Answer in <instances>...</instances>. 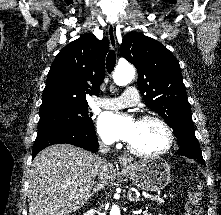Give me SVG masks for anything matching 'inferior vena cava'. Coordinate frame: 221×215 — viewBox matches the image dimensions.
<instances>
[{
    "label": "inferior vena cava",
    "instance_id": "602c4592",
    "mask_svg": "<svg viewBox=\"0 0 221 215\" xmlns=\"http://www.w3.org/2000/svg\"><path fill=\"white\" fill-rule=\"evenodd\" d=\"M110 150V147L106 144H103V143H100L99 144V152L101 154H106L108 151ZM100 160V169L98 171V179H99V185L101 188H104L106 183H107V174H106V171H107V165H106V160L103 159V158H99Z\"/></svg>",
    "mask_w": 221,
    "mask_h": 215
}]
</instances>
